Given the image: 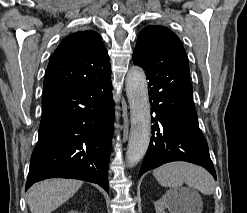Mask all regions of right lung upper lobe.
I'll return each instance as SVG.
<instances>
[{
  "instance_id": "cb5924a9",
  "label": "right lung upper lobe",
  "mask_w": 247,
  "mask_h": 213,
  "mask_svg": "<svg viewBox=\"0 0 247 213\" xmlns=\"http://www.w3.org/2000/svg\"><path fill=\"white\" fill-rule=\"evenodd\" d=\"M101 39L98 33L91 30L67 36L49 61L43 96L110 75L109 56Z\"/></svg>"
}]
</instances>
